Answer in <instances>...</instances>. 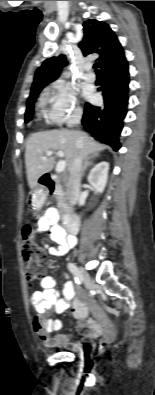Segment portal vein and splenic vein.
Wrapping results in <instances>:
<instances>
[{"mask_svg": "<svg viewBox=\"0 0 155 395\" xmlns=\"http://www.w3.org/2000/svg\"><path fill=\"white\" fill-rule=\"evenodd\" d=\"M52 154H53V151H48V152H46V156L42 157V159L45 160L47 156H51ZM57 154H58V156H60V157H63V156H64V153H63L62 151H58ZM65 167H66V161H65V160L59 161V162L57 163V166H56V172H57V173L63 172L64 169H65Z\"/></svg>", "mask_w": 155, "mask_h": 395, "instance_id": "18ae733b", "label": "portal vein and splenic vein"}]
</instances>
